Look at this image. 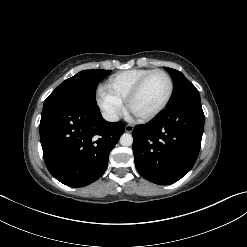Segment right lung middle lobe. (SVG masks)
Here are the masks:
<instances>
[{
    "instance_id": "right-lung-middle-lobe-1",
    "label": "right lung middle lobe",
    "mask_w": 247,
    "mask_h": 247,
    "mask_svg": "<svg viewBox=\"0 0 247 247\" xmlns=\"http://www.w3.org/2000/svg\"><path fill=\"white\" fill-rule=\"evenodd\" d=\"M111 70H83L60 84L45 100L44 104L55 101H75L86 105H97L95 91L98 83Z\"/></svg>"
}]
</instances>
